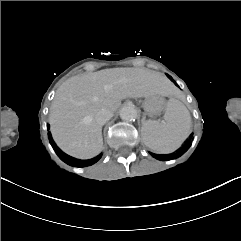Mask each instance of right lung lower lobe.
Returning <instances> with one entry per match:
<instances>
[{"label":"right lung lower lobe","mask_w":241,"mask_h":241,"mask_svg":"<svg viewBox=\"0 0 241 241\" xmlns=\"http://www.w3.org/2000/svg\"><path fill=\"white\" fill-rule=\"evenodd\" d=\"M47 128L49 129V125L47 126ZM48 138L50 141V144L52 145L53 149L55 150L56 154L67 164L74 166V167H86V166H90L93 165L94 163H96L102 156V154L89 159V160H80V159H76L73 158L67 154H65L64 152H62L57 145L55 144V142L52 139L51 133H48Z\"/></svg>","instance_id":"1"}]
</instances>
